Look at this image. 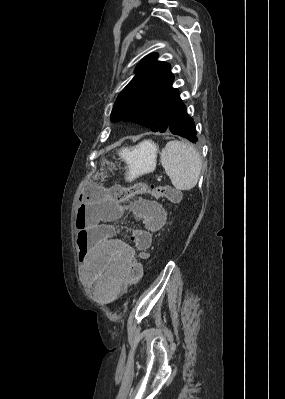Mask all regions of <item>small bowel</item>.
<instances>
[{"label":"small bowel","mask_w":285,"mask_h":399,"mask_svg":"<svg viewBox=\"0 0 285 399\" xmlns=\"http://www.w3.org/2000/svg\"><path fill=\"white\" fill-rule=\"evenodd\" d=\"M100 209H96V214ZM124 212L136 215L142 226L129 234L132 244L124 242L104 230L93 232L79 229L77 242L85 248L84 274L92 279L94 291L101 299L112 302L134 282L130 267L139 257H147L152 235L158 233L166 221L165 211L156 204L129 206Z\"/></svg>","instance_id":"c3829d8e"}]
</instances>
